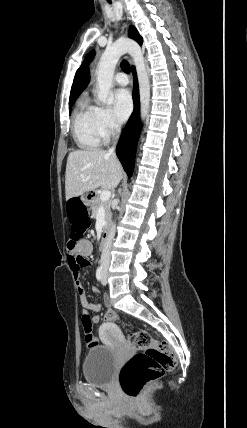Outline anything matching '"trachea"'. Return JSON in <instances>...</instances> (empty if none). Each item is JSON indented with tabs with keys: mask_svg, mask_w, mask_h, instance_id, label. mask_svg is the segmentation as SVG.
<instances>
[{
	"mask_svg": "<svg viewBox=\"0 0 247 428\" xmlns=\"http://www.w3.org/2000/svg\"><path fill=\"white\" fill-rule=\"evenodd\" d=\"M121 68H122V70H123L125 73H127V74H129V73H130V66H129V64H128V62H127V61L123 60V61L121 62Z\"/></svg>",
	"mask_w": 247,
	"mask_h": 428,
	"instance_id": "3493384b",
	"label": "trachea"
}]
</instances>
